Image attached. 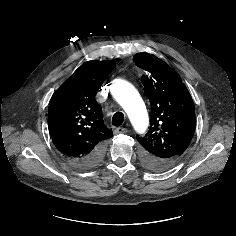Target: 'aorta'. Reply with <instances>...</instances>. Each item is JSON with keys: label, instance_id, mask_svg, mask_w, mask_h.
<instances>
[{"label": "aorta", "instance_id": "aorta-1", "mask_svg": "<svg viewBox=\"0 0 236 236\" xmlns=\"http://www.w3.org/2000/svg\"><path fill=\"white\" fill-rule=\"evenodd\" d=\"M112 94L126 112L133 128L143 134L149 123L146 106L136 88L128 81L117 79L112 85Z\"/></svg>", "mask_w": 236, "mask_h": 236}]
</instances>
